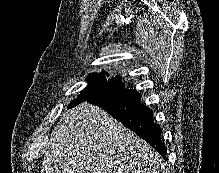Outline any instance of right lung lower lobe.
Segmentation results:
<instances>
[{"instance_id": "obj_1", "label": "right lung lower lobe", "mask_w": 219, "mask_h": 173, "mask_svg": "<svg viewBox=\"0 0 219 173\" xmlns=\"http://www.w3.org/2000/svg\"><path fill=\"white\" fill-rule=\"evenodd\" d=\"M140 100L139 92L123 87L112 94L92 96L87 99V102L98 105L107 111L148 142L163 158H166L167 149L160 138L162 130L159 125L154 124L153 112L149 107L141 104Z\"/></svg>"}]
</instances>
